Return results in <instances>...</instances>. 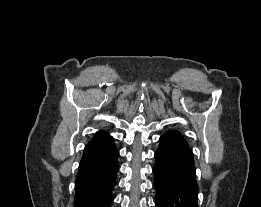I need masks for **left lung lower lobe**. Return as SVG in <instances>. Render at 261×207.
<instances>
[{"instance_id": "obj_1", "label": "left lung lower lobe", "mask_w": 261, "mask_h": 207, "mask_svg": "<svg viewBox=\"0 0 261 207\" xmlns=\"http://www.w3.org/2000/svg\"><path fill=\"white\" fill-rule=\"evenodd\" d=\"M154 156L156 207H198L194 154L183 135L177 130L163 134Z\"/></svg>"}]
</instances>
